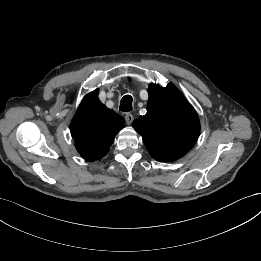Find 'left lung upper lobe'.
Segmentation results:
<instances>
[{"label": "left lung upper lobe", "mask_w": 261, "mask_h": 261, "mask_svg": "<svg viewBox=\"0 0 261 261\" xmlns=\"http://www.w3.org/2000/svg\"><path fill=\"white\" fill-rule=\"evenodd\" d=\"M147 113L133 121L150 155L161 162L184 156L196 143L200 123L196 111L172 85L149 87Z\"/></svg>", "instance_id": "5c2ea615"}]
</instances>
